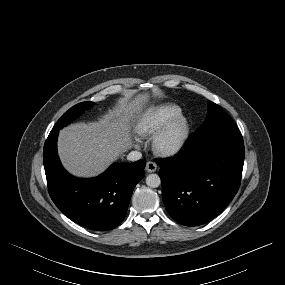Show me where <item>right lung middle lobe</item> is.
<instances>
[{
  "label": "right lung middle lobe",
  "instance_id": "obj_1",
  "mask_svg": "<svg viewBox=\"0 0 285 285\" xmlns=\"http://www.w3.org/2000/svg\"><path fill=\"white\" fill-rule=\"evenodd\" d=\"M94 105L93 102H82L79 103L72 108H70L67 112H65L62 117L58 120L53 128L61 129L64 126L68 125L75 118L81 115L86 109L92 107Z\"/></svg>",
  "mask_w": 285,
  "mask_h": 285
}]
</instances>
